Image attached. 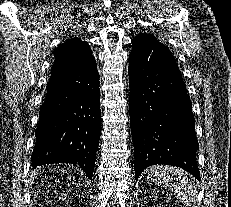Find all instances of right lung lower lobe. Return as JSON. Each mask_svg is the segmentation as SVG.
Listing matches in <instances>:
<instances>
[{"mask_svg": "<svg viewBox=\"0 0 231 207\" xmlns=\"http://www.w3.org/2000/svg\"><path fill=\"white\" fill-rule=\"evenodd\" d=\"M99 99V74L93 56L71 71L52 66L35 131L33 168L72 163L92 177L101 131Z\"/></svg>", "mask_w": 231, "mask_h": 207, "instance_id": "right-lung-lower-lobe-1", "label": "right lung lower lobe"}]
</instances>
